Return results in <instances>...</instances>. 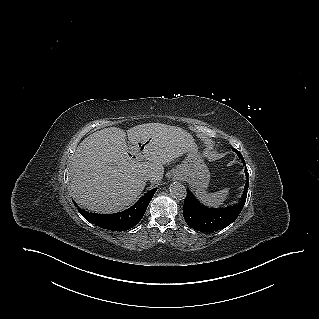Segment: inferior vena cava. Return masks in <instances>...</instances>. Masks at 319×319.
Returning a JSON list of instances; mask_svg holds the SVG:
<instances>
[{
	"label": "inferior vena cava",
	"instance_id": "602c4592",
	"mask_svg": "<svg viewBox=\"0 0 319 319\" xmlns=\"http://www.w3.org/2000/svg\"><path fill=\"white\" fill-rule=\"evenodd\" d=\"M151 178H152V176H151L150 174H148V175H146V176L144 177V179H145L146 181L151 180Z\"/></svg>",
	"mask_w": 319,
	"mask_h": 319
}]
</instances>
